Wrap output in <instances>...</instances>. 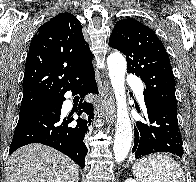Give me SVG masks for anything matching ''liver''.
Here are the masks:
<instances>
[{"label":"liver","mask_w":196,"mask_h":182,"mask_svg":"<svg viewBox=\"0 0 196 182\" xmlns=\"http://www.w3.org/2000/svg\"><path fill=\"white\" fill-rule=\"evenodd\" d=\"M78 166L66 155L42 145L29 144L7 161V182H77Z\"/></svg>","instance_id":"obj_1"}]
</instances>
